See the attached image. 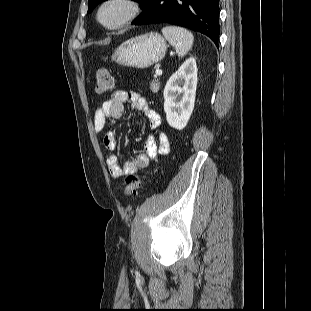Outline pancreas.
I'll use <instances>...</instances> for the list:
<instances>
[{"mask_svg":"<svg viewBox=\"0 0 311 311\" xmlns=\"http://www.w3.org/2000/svg\"><path fill=\"white\" fill-rule=\"evenodd\" d=\"M160 82L158 80H153L150 83V89L152 92L157 93L159 91Z\"/></svg>","mask_w":311,"mask_h":311,"instance_id":"pancreas-1","label":"pancreas"}]
</instances>
